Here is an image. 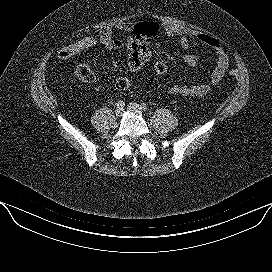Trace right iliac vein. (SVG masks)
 <instances>
[{
	"mask_svg": "<svg viewBox=\"0 0 272 272\" xmlns=\"http://www.w3.org/2000/svg\"><path fill=\"white\" fill-rule=\"evenodd\" d=\"M115 114L117 117H121V115L123 114V108H117L115 110Z\"/></svg>",
	"mask_w": 272,
	"mask_h": 272,
	"instance_id": "1",
	"label": "right iliac vein"
}]
</instances>
